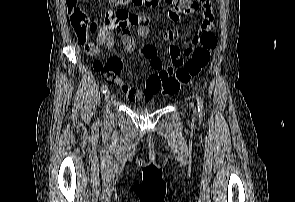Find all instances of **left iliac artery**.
<instances>
[{"instance_id":"left-iliac-artery-1","label":"left iliac artery","mask_w":295,"mask_h":202,"mask_svg":"<svg viewBox=\"0 0 295 202\" xmlns=\"http://www.w3.org/2000/svg\"><path fill=\"white\" fill-rule=\"evenodd\" d=\"M196 100H197V107H198L199 117L202 118L203 117V102H202L201 98L198 95H196Z\"/></svg>"}]
</instances>
